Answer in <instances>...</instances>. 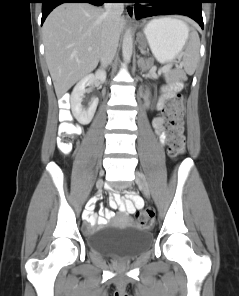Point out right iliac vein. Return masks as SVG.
Segmentation results:
<instances>
[{
  "mask_svg": "<svg viewBox=\"0 0 239 296\" xmlns=\"http://www.w3.org/2000/svg\"><path fill=\"white\" fill-rule=\"evenodd\" d=\"M103 186V180L102 179H99L96 183V187L97 188H101Z\"/></svg>",
  "mask_w": 239,
  "mask_h": 296,
  "instance_id": "right-iliac-vein-1",
  "label": "right iliac vein"
}]
</instances>
